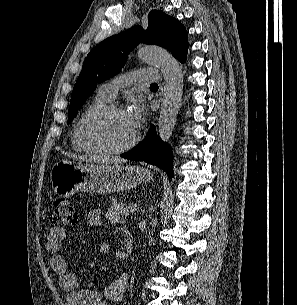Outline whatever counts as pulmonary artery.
Segmentation results:
<instances>
[{"label": "pulmonary artery", "mask_w": 297, "mask_h": 305, "mask_svg": "<svg viewBox=\"0 0 297 305\" xmlns=\"http://www.w3.org/2000/svg\"><path fill=\"white\" fill-rule=\"evenodd\" d=\"M136 81L155 83L157 81L155 70L142 69L134 73L120 74L101 84L98 89V93L104 98L112 100L115 98L119 90L131 85Z\"/></svg>", "instance_id": "pulmonary-artery-1"}]
</instances>
